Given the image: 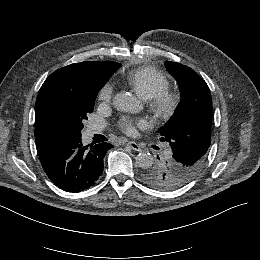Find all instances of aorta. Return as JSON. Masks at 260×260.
Wrapping results in <instances>:
<instances>
[{
    "label": "aorta",
    "instance_id": "1",
    "mask_svg": "<svg viewBox=\"0 0 260 260\" xmlns=\"http://www.w3.org/2000/svg\"><path fill=\"white\" fill-rule=\"evenodd\" d=\"M114 105L120 111L131 112L137 110L140 105L138 100L129 92L117 93L114 97ZM154 163L153 156L148 152H141L136 156V164L146 169Z\"/></svg>",
    "mask_w": 260,
    "mask_h": 260
}]
</instances>
